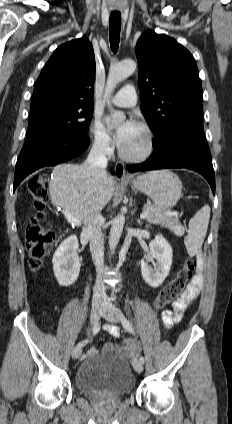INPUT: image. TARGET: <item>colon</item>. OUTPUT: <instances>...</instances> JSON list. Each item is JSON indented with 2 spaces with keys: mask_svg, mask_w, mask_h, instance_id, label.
<instances>
[{
  "mask_svg": "<svg viewBox=\"0 0 232 424\" xmlns=\"http://www.w3.org/2000/svg\"><path fill=\"white\" fill-rule=\"evenodd\" d=\"M29 190L34 199L36 214L32 217L26 231V249L29 256V265L33 270L41 267L44 258L51 251L55 243L54 232L42 224L45 219L44 209L48 200L44 177L34 176L29 181ZM195 262L191 258L183 260L176 276L164 286L154 300V307L161 310L173 302L184 290L191 279ZM122 346L132 349L135 343L129 337L121 340Z\"/></svg>",
  "mask_w": 232,
  "mask_h": 424,
  "instance_id": "colon-1",
  "label": "colon"
}]
</instances>
